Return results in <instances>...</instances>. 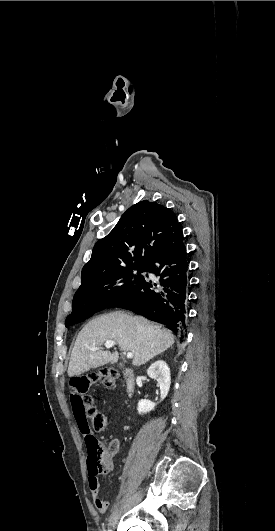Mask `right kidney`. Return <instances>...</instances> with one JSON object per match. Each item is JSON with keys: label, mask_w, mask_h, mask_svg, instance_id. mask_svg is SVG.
Masks as SVG:
<instances>
[{"label": "right kidney", "mask_w": 275, "mask_h": 531, "mask_svg": "<svg viewBox=\"0 0 275 531\" xmlns=\"http://www.w3.org/2000/svg\"><path fill=\"white\" fill-rule=\"evenodd\" d=\"M147 375L148 377H151V379H156L160 387V401H163V399L167 397L171 385L170 369L167 363H165V361H156V363H152L147 371ZM155 405L156 403H152V401H148V399H141L138 403L137 411L139 415H142V413H149V411H153Z\"/></svg>", "instance_id": "ca27d5eb"}]
</instances>
